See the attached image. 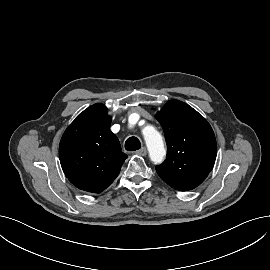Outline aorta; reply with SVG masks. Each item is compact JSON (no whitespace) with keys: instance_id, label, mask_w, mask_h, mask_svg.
Wrapping results in <instances>:
<instances>
[{"instance_id":"1","label":"aorta","mask_w":270,"mask_h":270,"mask_svg":"<svg viewBox=\"0 0 270 270\" xmlns=\"http://www.w3.org/2000/svg\"><path fill=\"white\" fill-rule=\"evenodd\" d=\"M143 135L151 160L154 163H161L166 154L161 134L153 127H146L143 130Z\"/></svg>"}]
</instances>
